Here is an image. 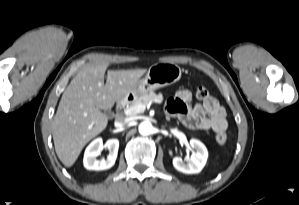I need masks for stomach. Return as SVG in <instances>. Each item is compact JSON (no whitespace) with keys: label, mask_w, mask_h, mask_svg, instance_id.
I'll use <instances>...</instances> for the list:
<instances>
[{"label":"stomach","mask_w":299,"mask_h":205,"mask_svg":"<svg viewBox=\"0 0 299 205\" xmlns=\"http://www.w3.org/2000/svg\"><path fill=\"white\" fill-rule=\"evenodd\" d=\"M182 75V69L176 64L156 63L147 71L145 77L140 79L134 89L126 97L135 100L144 94H148L159 88L177 82Z\"/></svg>","instance_id":"stomach-1"}]
</instances>
